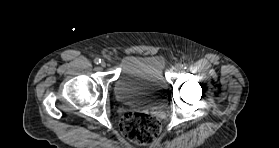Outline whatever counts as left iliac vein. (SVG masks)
Instances as JSON below:
<instances>
[{"instance_id": "1", "label": "left iliac vein", "mask_w": 279, "mask_h": 148, "mask_svg": "<svg viewBox=\"0 0 279 148\" xmlns=\"http://www.w3.org/2000/svg\"><path fill=\"white\" fill-rule=\"evenodd\" d=\"M175 71H180L182 69V65L180 63L176 64L174 67Z\"/></svg>"}]
</instances>
